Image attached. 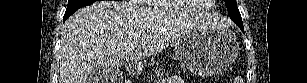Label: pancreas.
Returning <instances> with one entry per match:
<instances>
[{
	"label": "pancreas",
	"instance_id": "1",
	"mask_svg": "<svg viewBox=\"0 0 307 83\" xmlns=\"http://www.w3.org/2000/svg\"><path fill=\"white\" fill-rule=\"evenodd\" d=\"M156 75L158 76V77H160V76H163L164 75V72L162 71V70H157L156 71Z\"/></svg>",
	"mask_w": 307,
	"mask_h": 83
}]
</instances>
